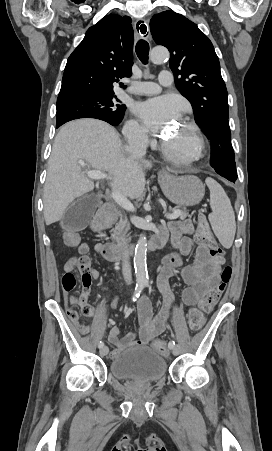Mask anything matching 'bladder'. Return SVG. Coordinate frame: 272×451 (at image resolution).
<instances>
[{
  "label": "bladder",
  "mask_w": 272,
  "mask_h": 451,
  "mask_svg": "<svg viewBox=\"0 0 272 451\" xmlns=\"http://www.w3.org/2000/svg\"><path fill=\"white\" fill-rule=\"evenodd\" d=\"M166 359L148 348L122 352L109 363L110 376L120 382L153 383L165 378Z\"/></svg>",
  "instance_id": "obj_1"
}]
</instances>
